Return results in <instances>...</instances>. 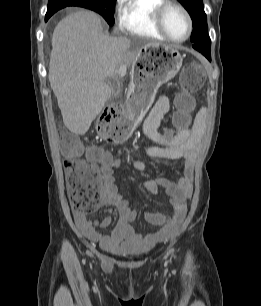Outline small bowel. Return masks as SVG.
<instances>
[{"mask_svg": "<svg viewBox=\"0 0 261 306\" xmlns=\"http://www.w3.org/2000/svg\"><path fill=\"white\" fill-rule=\"evenodd\" d=\"M170 107V99L167 96H161L146 117L143 132L151 144L143 147V153L153 159L182 161L180 166L182 176L177 183L165 177L145 182V189L151 194H157L159 189L165 191L175 205V218L172 222L163 224L161 214L147 212L146 221L151 226L162 225V228L146 235L136 231L132 223L137 218V212L120 192L113 174L114 167L120 166L121 162L104 156L101 160L103 181L95 207L103 208L113 205L118 209L120 219L110 233L103 234L99 229L108 228L112 224L111 216L92 221L88 218L86 211H76L74 218L82 235L98 244L105 252L122 255L127 252L147 251L158 242L174 238L183 222L186 211L185 201L192 193V167L203 146L204 113L201 112L197 116L191 127L179 128L173 135L166 136L159 131V126ZM79 162L80 160L75 157L67 159L64 163L66 171L69 172ZM127 163L138 171L145 169V164L137 158H130Z\"/></svg>", "mask_w": 261, "mask_h": 306, "instance_id": "obj_1", "label": "small bowel"}]
</instances>
